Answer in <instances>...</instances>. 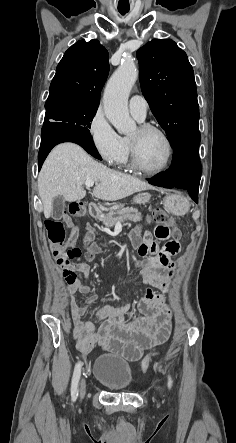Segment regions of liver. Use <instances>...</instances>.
Instances as JSON below:
<instances>
[{"label": "liver", "instance_id": "6515ba94", "mask_svg": "<svg viewBox=\"0 0 236 443\" xmlns=\"http://www.w3.org/2000/svg\"><path fill=\"white\" fill-rule=\"evenodd\" d=\"M97 183L93 196L116 201L152 187L131 175L108 168L92 159L80 146L63 143L56 146L45 160L38 177V191L46 218L51 216L52 202L62 196L69 202L86 196V181Z\"/></svg>", "mask_w": 236, "mask_h": 443}]
</instances>
